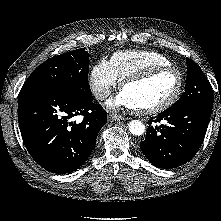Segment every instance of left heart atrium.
<instances>
[{"mask_svg":"<svg viewBox=\"0 0 221 221\" xmlns=\"http://www.w3.org/2000/svg\"><path fill=\"white\" fill-rule=\"evenodd\" d=\"M107 106L110 108H128L136 109L133 104L127 98L125 93L122 91L107 102Z\"/></svg>","mask_w":221,"mask_h":221,"instance_id":"1","label":"left heart atrium"}]
</instances>
